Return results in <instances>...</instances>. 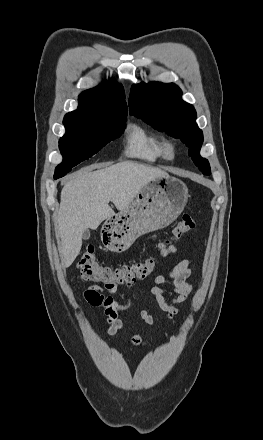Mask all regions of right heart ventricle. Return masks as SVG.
Returning a JSON list of instances; mask_svg holds the SVG:
<instances>
[{"instance_id": "1", "label": "right heart ventricle", "mask_w": 263, "mask_h": 440, "mask_svg": "<svg viewBox=\"0 0 263 440\" xmlns=\"http://www.w3.org/2000/svg\"><path fill=\"white\" fill-rule=\"evenodd\" d=\"M163 139L140 124H131L125 139V154L147 162L164 158Z\"/></svg>"}]
</instances>
